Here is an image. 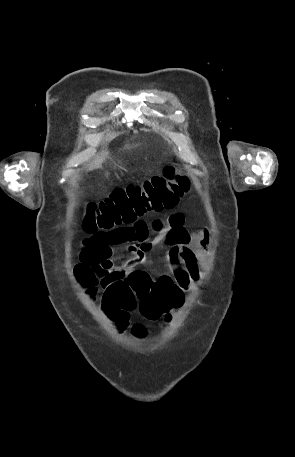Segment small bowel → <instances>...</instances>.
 Wrapping results in <instances>:
<instances>
[{"label": "small bowel", "mask_w": 295, "mask_h": 457, "mask_svg": "<svg viewBox=\"0 0 295 457\" xmlns=\"http://www.w3.org/2000/svg\"><path fill=\"white\" fill-rule=\"evenodd\" d=\"M184 222V214L174 212L165 219L152 222L138 219L130 226L97 230L83 240L80 262L102 264L110 259L113 246L127 244L131 255L121 266L127 276L132 271H139L140 265L147 264L148 253L163 247L168 272L158 279L167 277L173 281L177 289L176 306H179L184 293L200 278L210 242L208 230L189 231ZM150 232L154 233L153 237H150ZM101 285L106 287L103 281Z\"/></svg>", "instance_id": "small-bowel-1"}]
</instances>
